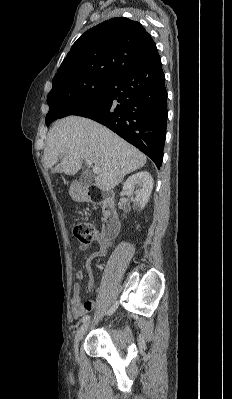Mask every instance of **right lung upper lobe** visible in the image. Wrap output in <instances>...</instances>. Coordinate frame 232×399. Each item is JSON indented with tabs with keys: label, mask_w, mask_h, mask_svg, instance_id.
Returning <instances> with one entry per match:
<instances>
[{
	"label": "right lung upper lobe",
	"mask_w": 232,
	"mask_h": 399,
	"mask_svg": "<svg viewBox=\"0 0 232 399\" xmlns=\"http://www.w3.org/2000/svg\"><path fill=\"white\" fill-rule=\"evenodd\" d=\"M156 44L137 21L119 17L89 29L73 44L48 95L89 79L111 78L151 56Z\"/></svg>",
	"instance_id": "right-lung-upper-lobe-1"
}]
</instances>
